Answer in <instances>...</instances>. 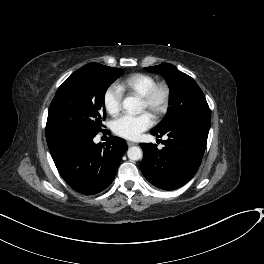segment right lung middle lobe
<instances>
[{"label":"right lung middle lobe","instance_id":"obj_1","mask_svg":"<svg viewBox=\"0 0 264 264\" xmlns=\"http://www.w3.org/2000/svg\"><path fill=\"white\" fill-rule=\"evenodd\" d=\"M120 74L121 69L89 63L69 76L50 105L46 139L100 132L105 120L106 90Z\"/></svg>","mask_w":264,"mask_h":264}]
</instances>
